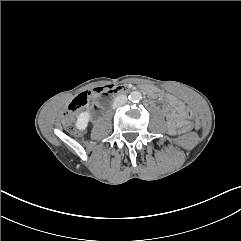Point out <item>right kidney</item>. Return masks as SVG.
<instances>
[{
  "instance_id": "obj_1",
  "label": "right kidney",
  "mask_w": 241,
  "mask_h": 241,
  "mask_svg": "<svg viewBox=\"0 0 241 241\" xmlns=\"http://www.w3.org/2000/svg\"><path fill=\"white\" fill-rule=\"evenodd\" d=\"M90 118H91V113L89 111L81 112L78 115L76 123H75L76 129H78L79 131H84L88 126Z\"/></svg>"
}]
</instances>
